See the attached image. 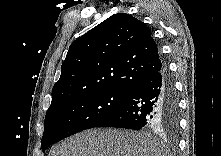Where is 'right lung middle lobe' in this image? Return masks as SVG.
Returning <instances> with one entry per match:
<instances>
[{"label": "right lung middle lobe", "instance_id": "right-lung-middle-lobe-1", "mask_svg": "<svg viewBox=\"0 0 221 156\" xmlns=\"http://www.w3.org/2000/svg\"><path fill=\"white\" fill-rule=\"evenodd\" d=\"M128 96L126 92L100 91L50 106L45 117L42 151L68 136L95 127L122 106Z\"/></svg>", "mask_w": 221, "mask_h": 156}]
</instances>
